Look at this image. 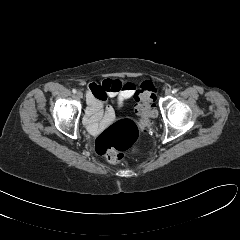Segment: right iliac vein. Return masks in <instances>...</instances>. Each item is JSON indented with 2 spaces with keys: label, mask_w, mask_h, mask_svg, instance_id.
<instances>
[{
  "label": "right iliac vein",
  "mask_w": 240,
  "mask_h": 240,
  "mask_svg": "<svg viewBox=\"0 0 240 240\" xmlns=\"http://www.w3.org/2000/svg\"><path fill=\"white\" fill-rule=\"evenodd\" d=\"M76 95H77V97L80 98V99L83 97V93H82L81 91H78V92L76 93Z\"/></svg>",
  "instance_id": "right-iliac-vein-1"
}]
</instances>
